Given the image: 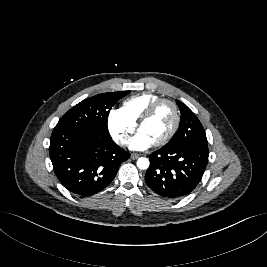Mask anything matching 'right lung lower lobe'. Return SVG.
I'll use <instances>...</instances> for the list:
<instances>
[{
    "label": "right lung lower lobe",
    "instance_id": "obj_1",
    "mask_svg": "<svg viewBox=\"0 0 267 267\" xmlns=\"http://www.w3.org/2000/svg\"><path fill=\"white\" fill-rule=\"evenodd\" d=\"M54 172L71 193L87 197L104 189L130 154L108 130L54 128L49 147Z\"/></svg>",
    "mask_w": 267,
    "mask_h": 267
}]
</instances>
